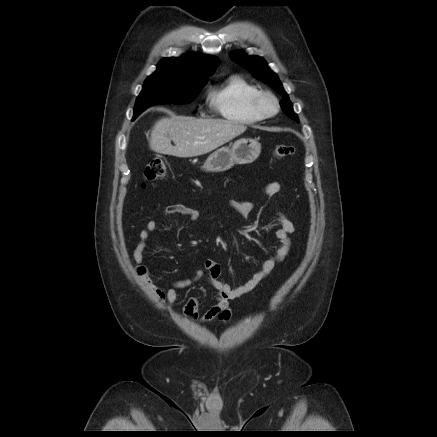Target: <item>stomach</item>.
Listing matches in <instances>:
<instances>
[{"label": "stomach", "mask_w": 437, "mask_h": 437, "mask_svg": "<svg viewBox=\"0 0 437 437\" xmlns=\"http://www.w3.org/2000/svg\"><path fill=\"white\" fill-rule=\"evenodd\" d=\"M261 153V144L254 139L242 138L230 147H221L204 162L202 169L206 172H223L235 163L248 164L254 162Z\"/></svg>", "instance_id": "0dacf381"}]
</instances>
